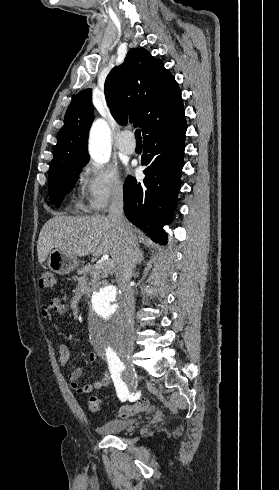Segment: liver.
Masks as SVG:
<instances>
[{
	"label": "liver",
	"mask_w": 279,
	"mask_h": 490,
	"mask_svg": "<svg viewBox=\"0 0 279 490\" xmlns=\"http://www.w3.org/2000/svg\"><path fill=\"white\" fill-rule=\"evenodd\" d=\"M134 238L141 232L129 224L124 228ZM125 236L106 216H54L44 224L38 238L39 264L45 262L49 252L57 248L70 256H103L109 254L114 264L122 260Z\"/></svg>",
	"instance_id": "1"
}]
</instances>
